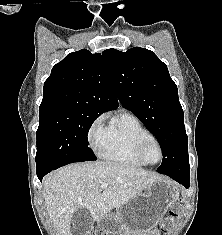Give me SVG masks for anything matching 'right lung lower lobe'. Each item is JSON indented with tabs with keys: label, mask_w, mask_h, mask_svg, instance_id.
Here are the masks:
<instances>
[{
	"label": "right lung lower lobe",
	"mask_w": 222,
	"mask_h": 235,
	"mask_svg": "<svg viewBox=\"0 0 222 235\" xmlns=\"http://www.w3.org/2000/svg\"><path fill=\"white\" fill-rule=\"evenodd\" d=\"M52 170H55V169H48V170H44L41 172H37V176H38L39 180L42 181V178Z\"/></svg>",
	"instance_id": "obj_1"
}]
</instances>
